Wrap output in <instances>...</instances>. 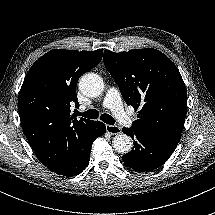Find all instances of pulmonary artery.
<instances>
[{"label": "pulmonary artery", "instance_id": "obj_1", "mask_svg": "<svg viewBox=\"0 0 215 215\" xmlns=\"http://www.w3.org/2000/svg\"><path fill=\"white\" fill-rule=\"evenodd\" d=\"M104 106L110 108L112 113L117 116L116 123L120 128L127 129L132 125L136 114L133 111L124 112L120 93L116 88L108 89L104 99Z\"/></svg>", "mask_w": 215, "mask_h": 215}]
</instances>
